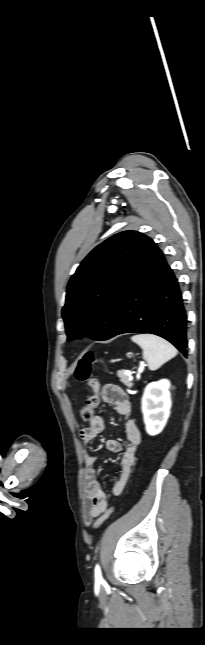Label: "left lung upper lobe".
<instances>
[{
    "mask_svg": "<svg viewBox=\"0 0 205 645\" xmlns=\"http://www.w3.org/2000/svg\"><path fill=\"white\" fill-rule=\"evenodd\" d=\"M146 236L118 233L98 245L71 277L62 310L68 341L85 331L103 341L115 330L123 288Z\"/></svg>",
    "mask_w": 205,
    "mask_h": 645,
    "instance_id": "obj_1",
    "label": "left lung upper lobe"
}]
</instances>
